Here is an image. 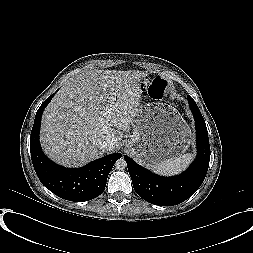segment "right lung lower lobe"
Returning a JSON list of instances; mask_svg holds the SVG:
<instances>
[{
	"label": "right lung lower lobe",
	"instance_id": "right-lung-lower-lobe-1",
	"mask_svg": "<svg viewBox=\"0 0 253 253\" xmlns=\"http://www.w3.org/2000/svg\"><path fill=\"white\" fill-rule=\"evenodd\" d=\"M53 96L48 97L39 107L31 131L30 148L34 169L41 183L55 195L75 202L89 201L103 193L108 174L122 154L114 153L76 169L59 166L47 158L40 147L39 131L43 110Z\"/></svg>",
	"mask_w": 253,
	"mask_h": 253
}]
</instances>
